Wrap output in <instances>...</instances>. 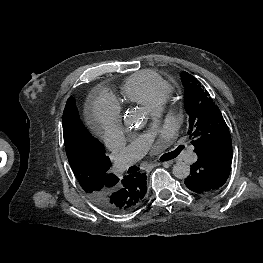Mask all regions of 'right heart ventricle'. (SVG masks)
<instances>
[{
  "mask_svg": "<svg viewBox=\"0 0 263 263\" xmlns=\"http://www.w3.org/2000/svg\"><path fill=\"white\" fill-rule=\"evenodd\" d=\"M122 93L128 101L152 109L166 100L171 87L159 74L147 70L130 75L122 85Z\"/></svg>",
  "mask_w": 263,
  "mask_h": 263,
  "instance_id": "e07e8e85",
  "label": "right heart ventricle"
}]
</instances>
